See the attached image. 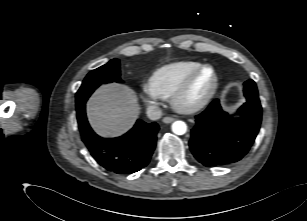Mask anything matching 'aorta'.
<instances>
[{"label": "aorta", "instance_id": "1", "mask_svg": "<svg viewBox=\"0 0 307 221\" xmlns=\"http://www.w3.org/2000/svg\"><path fill=\"white\" fill-rule=\"evenodd\" d=\"M171 128H172L173 133H175L176 135H183L187 131V125L183 121H175L172 124Z\"/></svg>", "mask_w": 307, "mask_h": 221}]
</instances>
